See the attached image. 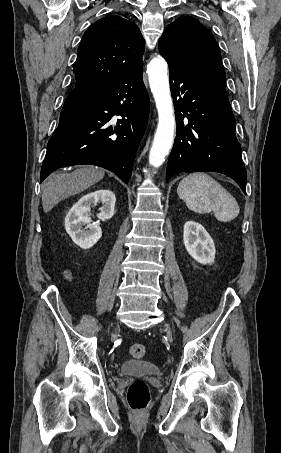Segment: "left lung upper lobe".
Returning <instances> with one entry per match:
<instances>
[{"label": "left lung upper lobe", "mask_w": 281, "mask_h": 453, "mask_svg": "<svg viewBox=\"0 0 281 453\" xmlns=\"http://www.w3.org/2000/svg\"><path fill=\"white\" fill-rule=\"evenodd\" d=\"M159 53L189 71L225 75L214 36L191 16H181L165 29L159 40Z\"/></svg>", "instance_id": "left-lung-upper-lobe-1"}]
</instances>
